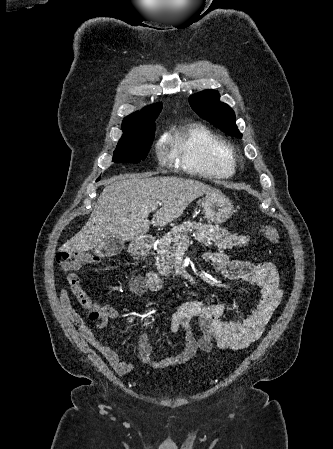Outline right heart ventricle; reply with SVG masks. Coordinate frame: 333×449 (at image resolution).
Masks as SVG:
<instances>
[{
	"label": "right heart ventricle",
	"instance_id": "1",
	"mask_svg": "<svg viewBox=\"0 0 333 449\" xmlns=\"http://www.w3.org/2000/svg\"><path fill=\"white\" fill-rule=\"evenodd\" d=\"M170 160L178 162L186 172L202 177H228L235 171L232 147L209 128L184 125L174 129L165 139Z\"/></svg>",
	"mask_w": 333,
	"mask_h": 449
}]
</instances>
